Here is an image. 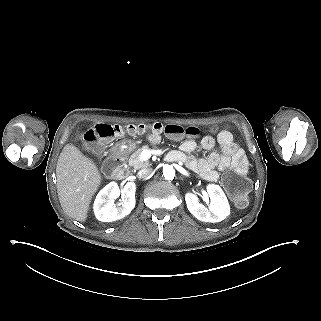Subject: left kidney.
I'll list each match as a JSON object with an SVG mask.
<instances>
[{
  "mask_svg": "<svg viewBox=\"0 0 321 321\" xmlns=\"http://www.w3.org/2000/svg\"><path fill=\"white\" fill-rule=\"evenodd\" d=\"M207 192L210 197L209 209L199 203L198 197L193 193L185 195L187 208L200 221L221 222L230 215V205L227 197L219 185L208 184Z\"/></svg>",
  "mask_w": 321,
  "mask_h": 321,
  "instance_id": "1",
  "label": "left kidney"
}]
</instances>
